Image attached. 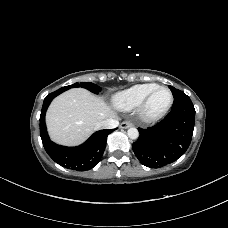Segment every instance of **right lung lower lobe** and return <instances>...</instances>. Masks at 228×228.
Wrapping results in <instances>:
<instances>
[{"instance_id": "obj_1", "label": "right lung lower lobe", "mask_w": 228, "mask_h": 228, "mask_svg": "<svg viewBox=\"0 0 228 228\" xmlns=\"http://www.w3.org/2000/svg\"><path fill=\"white\" fill-rule=\"evenodd\" d=\"M60 93L62 92L57 90L49 94L43 102L40 115V136L43 146L47 154L59 165L77 171L89 170L100 161L111 130L97 131L84 144L77 147H65L52 142L47 134L45 113L53 98Z\"/></svg>"}]
</instances>
